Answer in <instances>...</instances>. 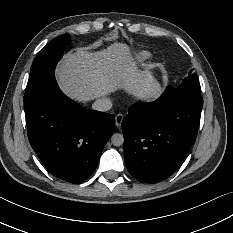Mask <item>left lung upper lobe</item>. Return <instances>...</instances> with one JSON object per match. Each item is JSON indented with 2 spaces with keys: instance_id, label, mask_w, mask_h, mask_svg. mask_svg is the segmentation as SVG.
<instances>
[{
  "instance_id": "obj_1",
  "label": "left lung upper lobe",
  "mask_w": 233,
  "mask_h": 233,
  "mask_svg": "<svg viewBox=\"0 0 233 233\" xmlns=\"http://www.w3.org/2000/svg\"><path fill=\"white\" fill-rule=\"evenodd\" d=\"M191 72L192 70H190V73ZM166 90L171 93H182L200 96V86L195 73H192L190 76L184 79L180 85L176 87L169 86Z\"/></svg>"
}]
</instances>
